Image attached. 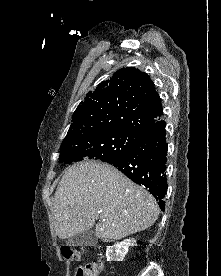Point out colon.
I'll use <instances>...</instances> for the list:
<instances>
[{
    "label": "colon",
    "mask_w": 221,
    "mask_h": 276,
    "mask_svg": "<svg viewBox=\"0 0 221 276\" xmlns=\"http://www.w3.org/2000/svg\"><path fill=\"white\" fill-rule=\"evenodd\" d=\"M61 253L66 261L77 262L80 260V252L77 249L65 246L61 249ZM104 271V264L100 261H94L85 267H79L75 276H101Z\"/></svg>",
    "instance_id": "obj_1"
}]
</instances>
